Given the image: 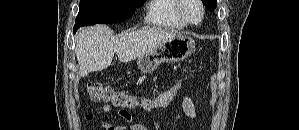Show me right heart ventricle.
I'll list each match as a JSON object with an SVG mask.
<instances>
[{
    "label": "right heart ventricle",
    "instance_id": "right-heart-ventricle-1",
    "mask_svg": "<svg viewBox=\"0 0 299 130\" xmlns=\"http://www.w3.org/2000/svg\"><path fill=\"white\" fill-rule=\"evenodd\" d=\"M179 0H152L149 4L146 21L156 27L175 30L185 29L187 25L178 15Z\"/></svg>",
    "mask_w": 299,
    "mask_h": 130
}]
</instances>
